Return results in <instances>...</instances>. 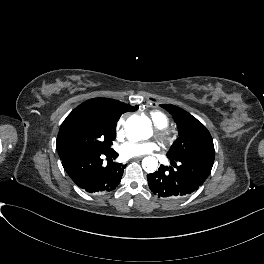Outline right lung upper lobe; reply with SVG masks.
Returning <instances> with one entry per match:
<instances>
[{"instance_id":"right-lung-upper-lobe-1","label":"right lung upper lobe","mask_w":264,"mask_h":264,"mask_svg":"<svg viewBox=\"0 0 264 264\" xmlns=\"http://www.w3.org/2000/svg\"><path fill=\"white\" fill-rule=\"evenodd\" d=\"M98 101L106 105L83 109L82 104L75 108L61 124L56 139L63 168L75 183L104 167L101 155L115 153L109 147L116 137L117 121L122 114L138 109L116 100Z\"/></svg>"}]
</instances>
